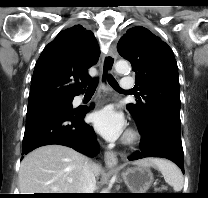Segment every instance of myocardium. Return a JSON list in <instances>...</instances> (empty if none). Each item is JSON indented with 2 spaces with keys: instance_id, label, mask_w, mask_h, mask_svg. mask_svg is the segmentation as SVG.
I'll return each mask as SVG.
<instances>
[{
  "instance_id": "obj_1",
  "label": "myocardium",
  "mask_w": 208,
  "mask_h": 198,
  "mask_svg": "<svg viewBox=\"0 0 208 198\" xmlns=\"http://www.w3.org/2000/svg\"><path fill=\"white\" fill-rule=\"evenodd\" d=\"M140 138L138 131L130 129L126 132L124 136V143L127 145L135 144Z\"/></svg>"
}]
</instances>
